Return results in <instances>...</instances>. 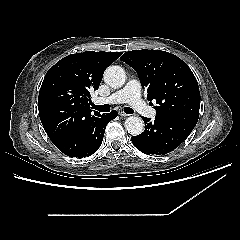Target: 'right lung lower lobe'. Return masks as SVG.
Listing matches in <instances>:
<instances>
[{
	"instance_id": "1",
	"label": "right lung lower lobe",
	"mask_w": 240,
	"mask_h": 240,
	"mask_svg": "<svg viewBox=\"0 0 240 240\" xmlns=\"http://www.w3.org/2000/svg\"><path fill=\"white\" fill-rule=\"evenodd\" d=\"M116 110L93 118L89 124L72 133L63 140L54 142V145L70 157L83 158L95 153L100 147L106 125L117 116Z\"/></svg>"
}]
</instances>
